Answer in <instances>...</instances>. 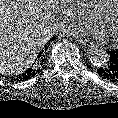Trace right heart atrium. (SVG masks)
<instances>
[{"instance_id": "obj_1", "label": "right heart atrium", "mask_w": 118, "mask_h": 118, "mask_svg": "<svg viewBox=\"0 0 118 118\" xmlns=\"http://www.w3.org/2000/svg\"><path fill=\"white\" fill-rule=\"evenodd\" d=\"M74 1V0H72ZM75 6L72 8L70 15L71 21L74 26H80L82 24H87L91 19H89L85 13L82 11L79 4L75 1Z\"/></svg>"}]
</instances>
